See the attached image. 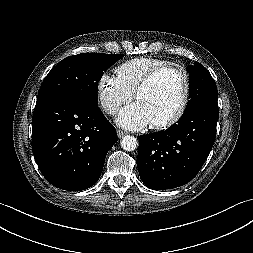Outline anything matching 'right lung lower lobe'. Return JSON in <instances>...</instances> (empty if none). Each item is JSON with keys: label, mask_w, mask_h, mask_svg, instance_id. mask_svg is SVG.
<instances>
[{"label": "right lung lower lobe", "mask_w": 253, "mask_h": 253, "mask_svg": "<svg viewBox=\"0 0 253 253\" xmlns=\"http://www.w3.org/2000/svg\"><path fill=\"white\" fill-rule=\"evenodd\" d=\"M32 125V151L40 171L52 185L69 191L97 182L118 139L99 107L65 98L37 101Z\"/></svg>", "instance_id": "right-lung-lower-lobe-1"}]
</instances>
